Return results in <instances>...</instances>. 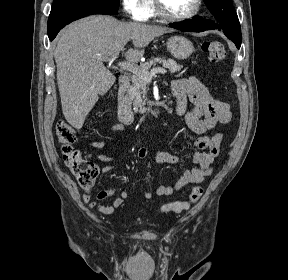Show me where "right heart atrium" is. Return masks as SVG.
<instances>
[{"mask_svg": "<svg viewBox=\"0 0 288 280\" xmlns=\"http://www.w3.org/2000/svg\"><path fill=\"white\" fill-rule=\"evenodd\" d=\"M125 14L136 21L145 20L151 7V0H121Z\"/></svg>", "mask_w": 288, "mask_h": 280, "instance_id": "right-heart-atrium-1", "label": "right heart atrium"}]
</instances>
